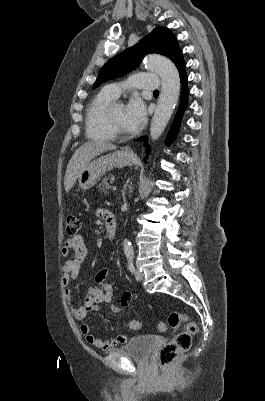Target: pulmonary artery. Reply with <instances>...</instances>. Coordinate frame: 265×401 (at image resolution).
<instances>
[{"mask_svg": "<svg viewBox=\"0 0 265 401\" xmlns=\"http://www.w3.org/2000/svg\"><path fill=\"white\" fill-rule=\"evenodd\" d=\"M161 81L160 76L153 75L151 72H139L137 76L132 77V82L138 84V88L144 90H157ZM108 92L114 97H118L121 93V87L118 85H110Z\"/></svg>", "mask_w": 265, "mask_h": 401, "instance_id": "e3ab8cb5", "label": "pulmonary artery"}]
</instances>
